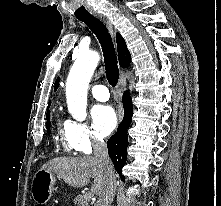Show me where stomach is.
I'll return each instance as SVG.
<instances>
[{"label":"stomach","instance_id":"1","mask_svg":"<svg viewBox=\"0 0 221 206\" xmlns=\"http://www.w3.org/2000/svg\"><path fill=\"white\" fill-rule=\"evenodd\" d=\"M58 176L54 173L40 169L34 176L31 194L38 205H43L51 197Z\"/></svg>","mask_w":221,"mask_h":206}]
</instances>
